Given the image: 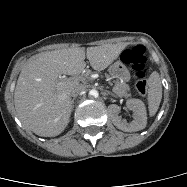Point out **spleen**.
Segmentation results:
<instances>
[{"label": "spleen", "mask_w": 187, "mask_h": 187, "mask_svg": "<svg viewBox=\"0 0 187 187\" xmlns=\"http://www.w3.org/2000/svg\"><path fill=\"white\" fill-rule=\"evenodd\" d=\"M150 88L148 90L149 115L154 116L159 108L162 99V84L159 74L154 71L149 77Z\"/></svg>", "instance_id": "1"}]
</instances>
